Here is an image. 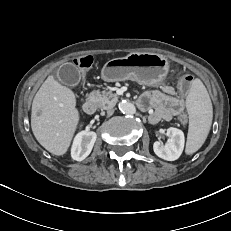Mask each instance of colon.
<instances>
[{
  "mask_svg": "<svg viewBox=\"0 0 231 231\" xmlns=\"http://www.w3.org/2000/svg\"><path fill=\"white\" fill-rule=\"evenodd\" d=\"M74 64L78 69H81L80 74H79V79L80 80H86L87 79V70L86 69H89L92 66L93 57L90 55H87V56H82V57L76 58L74 60ZM192 82H193V77L191 75H188V74L184 75L180 79L179 84H178V88H179L180 93L187 94L191 89ZM179 120L181 123H186V121H187L186 115H182L179 118Z\"/></svg>",
  "mask_w": 231,
  "mask_h": 231,
  "instance_id": "1",
  "label": "colon"
}]
</instances>
